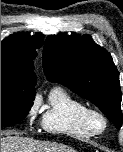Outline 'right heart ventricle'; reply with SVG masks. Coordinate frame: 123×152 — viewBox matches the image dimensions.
Masks as SVG:
<instances>
[{"mask_svg": "<svg viewBox=\"0 0 123 152\" xmlns=\"http://www.w3.org/2000/svg\"><path fill=\"white\" fill-rule=\"evenodd\" d=\"M88 107L61 87L53 88L42 115L45 131L73 138H90L93 134L83 125L82 114Z\"/></svg>", "mask_w": 123, "mask_h": 152, "instance_id": "e07e8e85", "label": "right heart ventricle"}]
</instances>
